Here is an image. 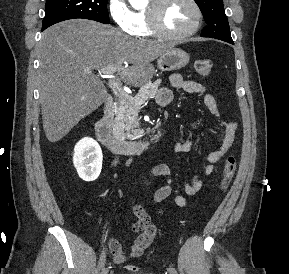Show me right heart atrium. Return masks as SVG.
<instances>
[{"label": "right heart atrium", "instance_id": "1", "mask_svg": "<svg viewBox=\"0 0 289 274\" xmlns=\"http://www.w3.org/2000/svg\"><path fill=\"white\" fill-rule=\"evenodd\" d=\"M108 10L117 27L125 33L134 34L136 21L134 12L125 0H109Z\"/></svg>", "mask_w": 289, "mask_h": 274}]
</instances>
